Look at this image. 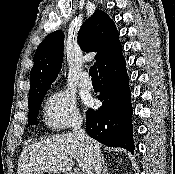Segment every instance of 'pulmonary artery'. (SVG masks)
Wrapping results in <instances>:
<instances>
[{
	"label": "pulmonary artery",
	"mask_w": 175,
	"mask_h": 174,
	"mask_svg": "<svg viewBox=\"0 0 175 174\" xmlns=\"http://www.w3.org/2000/svg\"><path fill=\"white\" fill-rule=\"evenodd\" d=\"M80 85L82 88L85 89H91L92 88V82L89 78L88 72H83L80 78Z\"/></svg>",
	"instance_id": "e3ab8cb5"
}]
</instances>
